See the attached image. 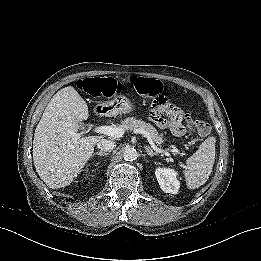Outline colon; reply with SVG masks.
<instances>
[{"label":"colon","mask_w":261,"mask_h":261,"mask_svg":"<svg viewBox=\"0 0 261 261\" xmlns=\"http://www.w3.org/2000/svg\"><path fill=\"white\" fill-rule=\"evenodd\" d=\"M132 84L136 91L146 97L153 98L151 112L160 120L162 115H166L169 119L167 122L170 129L176 135H183L186 132L182 120L187 115L186 112L177 109L164 95H162L163 85L160 81L148 78L135 76L132 78ZM77 87L88 95L98 96H113L119 91V83L112 78H87L79 80ZM196 125L202 134L209 132V125L202 120H196Z\"/></svg>","instance_id":"obj_1"}]
</instances>
